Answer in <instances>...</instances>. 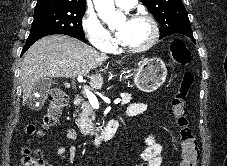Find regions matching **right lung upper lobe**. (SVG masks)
<instances>
[{"label": "right lung upper lobe", "mask_w": 227, "mask_h": 166, "mask_svg": "<svg viewBox=\"0 0 227 166\" xmlns=\"http://www.w3.org/2000/svg\"><path fill=\"white\" fill-rule=\"evenodd\" d=\"M40 5H72L86 7L85 0H37L36 6Z\"/></svg>", "instance_id": "obj_1"}]
</instances>
